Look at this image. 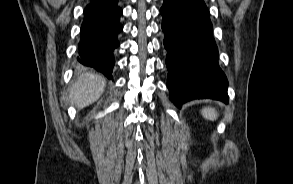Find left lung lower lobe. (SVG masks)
<instances>
[{
    "instance_id": "1",
    "label": "left lung lower lobe",
    "mask_w": 293,
    "mask_h": 184,
    "mask_svg": "<svg viewBox=\"0 0 293 184\" xmlns=\"http://www.w3.org/2000/svg\"><path fill=\"white\" fill-rule=\"evenodd\" d=\"M160 13L170 100L177 107L203 98L228 103V82L218 65V49L204 1L164 0Z\"/></svg>"
}]
</instances>
